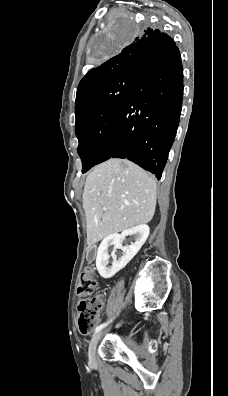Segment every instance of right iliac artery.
<instances>
[{
  "mask_svg": "<svg viewBox=\"0 0 228 396\" xmlns=\"http://www.w3.org/2000/svg\"><path fill=\"white\" fill-rule=\"evenodd\" d=\"M111 321L112 320L97 326L96 329H95V333H98L101 329H103L105 326H107Z\"/></svg>",
  "mask_w": 228,
  "mask_h": 396,
  "instance_id": "right-iliac-artery-1",
  "label": "right iliac artery"
}]
</instances>
